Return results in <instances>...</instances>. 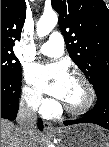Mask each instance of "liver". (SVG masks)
I'll return each mask as SVG.
<instances>
[{
	"label": "liver",
	"instance_id": "6515ba94",
	"mask_svg": "<svg viewBox=\"0 0 109 147\" xmlns=\"http://www.w3.org/2000/svg\"><path fill=\"white\" fill-rule=\"evenodd\" d=\"M34 145L40 140L38 131L34 133ZM1 147H22V133L12 122L1 119Z\"/></svg>",
	"mask_w": 109,
	"mask_h": 147
}]
</instances>
